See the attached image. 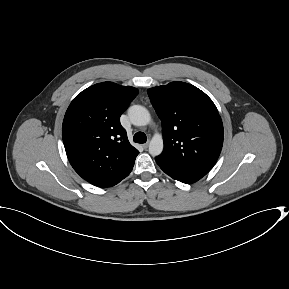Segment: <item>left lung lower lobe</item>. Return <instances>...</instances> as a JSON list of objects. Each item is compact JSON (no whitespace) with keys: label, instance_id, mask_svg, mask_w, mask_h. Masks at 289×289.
<instances>
[{"label":"left lung lower lobe","instance_id":"obj_1","mask_svg":"<svg viewBox=\"0 0 289 289\" xmlns=\"http://www.w3.org/2000/svg\"><path fill=\"white\" fill-rule=\"evenodd\" d=\"M164 172L168 174L170 177H172L173 179L178 180L182 183H194L203 177L200 175H191V174H186L182 172H167V171H164Z\"/></svg>","mask_w":289,"mask_h":289}]
</instances>
